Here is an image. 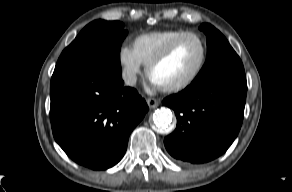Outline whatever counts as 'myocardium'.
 <instances>
[{"mask_svg":"<svg viewBox=\"0 0 292 192\" xmlns=\"http://www.w3.org/2000/svg\"><path fill=\"white\" fill-rule=\"evenodd\" d=\"M188 37L196 38L199 41L201 45V49H202L201 60L198 66L196 67V69L194 70V72L183 81H180L173 85L160 87V89L164 92L173 93V92H179L181 90L188 88L198 79V77L201 75V73L203 72L206 66L207 59H208V46H207V42L205 38L197 32L186 31L182 33L181 35L177 36L176 38H174L161 52H159L146 64L145 71H146L147 77L150 79V74L153 68L157 66L158 64H160L161 62H163L164 60H166L173 53V51L178 46V44L182 40Z\"/></svg>","mask_w":292,"mask_h":192,"instance_id":"myocardium-1","label":"myocardium"}]
</instances>
